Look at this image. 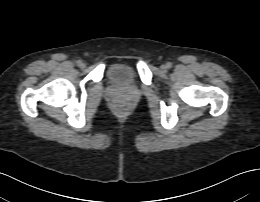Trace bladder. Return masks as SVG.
<instances>
[{"label":"bladder","mask_w":260,"mask_h":202,"mask_svg":"<svg viewBox=\"0 0 260 202\" xmlns=\"http://www.w3.org/2000/svg\"><path fill=\"white\" fill-rule=\"evenodd\" d=\"M108 80L121 87L130 86L136 79V70L127 64H114L107 71Z\"/></svg>","instance_id":"1"}]
</instances>
